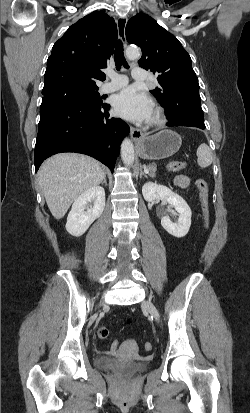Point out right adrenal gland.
<instances>
[{
	"label": "right adrenal gland",
	"instance_id": "1",
	"mask_svg": "<svg viewBox=\"0 0 250 413\" xmlns=\"http://www.w3.org/2000/svg\"><path fill=\"white\" fill-rule=\"evenodd\" d=\"M102 184H104L105 186H107L106 175L104 176V179H103Z\"/></svg>",
	"mask_w": 250,
	"mask_h": 413
}]
</instances>
